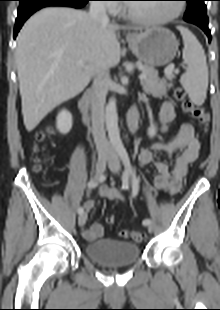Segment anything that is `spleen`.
<instances>
[{
  "mask_svg": "<svg viewBox=\"0 0 220 310\" xmlns=\"http://www.w3.org/2000/svg\"><path fill=\"white\" fill-rule=\"evenodd\" d=\"M178 30L184 43L183 60L187 64V71L181 76L180 82L191 101L202 105L208 88V67L204 49L187 28L179 26Z\"/></svg>",
  "mask_w": 220,
  "mask_h": 310,
  "instance_id": "1",
  "label": "spleen"
}]
</instances>
